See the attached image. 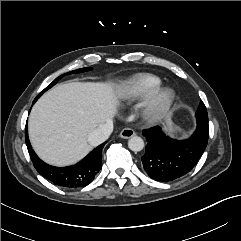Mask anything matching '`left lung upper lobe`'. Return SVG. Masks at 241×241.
<instances>
[{"instance_id":"left-lung-upper-lobe-1","label":"left lung upper lobe","mask_w":241,"mask_h":241,"mask_svg":"<svg viewBox=\"0 0 241 241\" xmlns=\"http://www.w3.org/2000/svg\"><path fill=\"white\" fill-rule=\"evenodd\" d=\"M197 125L209 131L208 114L204 103L201 101L196 111Z\"/></svg>"}]
</instances>
